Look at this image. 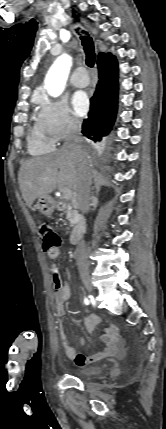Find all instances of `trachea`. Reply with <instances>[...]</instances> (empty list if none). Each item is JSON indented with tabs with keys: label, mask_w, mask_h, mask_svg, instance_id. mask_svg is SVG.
Segmentation results:
<instances>
[{
	"label": "trachea",
	"mask_w": 166,
	"mask_h": 429,
	"mask_svg": "<svg viewBox=\"0 0 166 429\" xmlns=\"http://www.w3.org/2000/svg\"><path fill=\"white\" fill-rule=\"evenodd\" d=\"M78 30V29H77ZM87 34V32H84ZM82 41V46L86 54V64L89 67H93L95 64V49H94V42L91 37L88 35L81 36L80 37Z\"/></svg>",
	"instance_id": "trachea-1"
}]
</instances>
